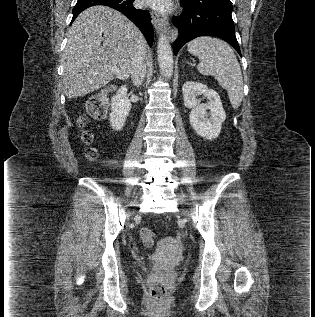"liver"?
<instances>
[{
    "label": "liver",
    "mask_w": 315,
    "mask_h": 317,
    "mask_svg": "<svg viewBox=\"0 0 315 317\" xmlns=\"http://www.w3.org/2000/svg\"><path fill=\"white\" fill-rule=\"evenodd\" d=\"M63 53V87L68 98L90 94L116 75L125 80L140 46L146 41L140 30L122 13L105 6L83 11L67 32ZM119 69V73L111 71Z\"/></svg>",
    "instance_id": "obj_1"
}]
</instances>
